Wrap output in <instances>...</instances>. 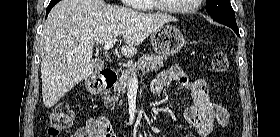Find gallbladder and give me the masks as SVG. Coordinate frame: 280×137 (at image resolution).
Segmentation results:
<instances>
[{
    "mask_svg": "<svg viewBox=\"0 0 280 137\" xmlns=\"http://www.w3.org/2000/svg\"><path fill=\"white\" fill-rule=\"evenodd\" d=\"M92 65H93V68H94V72H96V73L104 68L103 61L101 59H98V58H96L92 61Z\"/></svg>",
    "mask_w": 280,
    "mask_h": 137,
    "instance_id": "bac80fb5",
    "label": "gallbladder"
}]
</instances>
